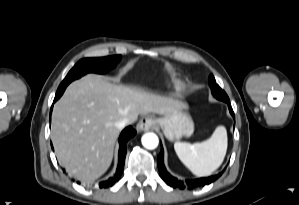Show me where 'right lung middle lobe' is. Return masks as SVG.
I'll list each match as a JSON object with an SVG mask.
<instances>
[{"mask_svg": "<svg viewBox=\"0 0 299 205\" xmlns=\"http://www.w3.org/2000/svg\"><path fill=\"white\" fill-rule=\"evenodd\" d=\"M121 60V55L108 56L102 58H85L80 60L75 66L69 71L65 79L62 81L58 87L56 98H59L67 85L75 79L89 73H106L112 68H114L117 63Z\"/></svg>", "mask_w": 299, "mask_h": 205, "instance_id": "dd1d6c3e", "label": "right lung middle lobe"}]
</instances>
